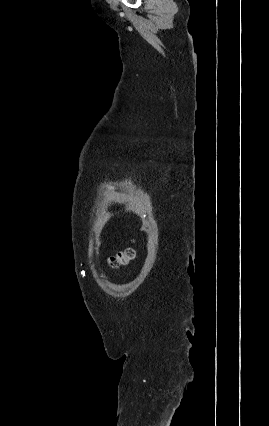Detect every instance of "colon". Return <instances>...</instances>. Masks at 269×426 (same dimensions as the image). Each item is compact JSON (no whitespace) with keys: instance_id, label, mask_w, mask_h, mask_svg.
Here are the masks:
<instances>
[{"instance_id":"obj_1","label":"colon","mask_w":269,"mask_h":426,"mask_svg":"<svg viewBox=\"0 0 269 426\" xmlns=\"http://www.w3.org/2000/svg\"><path fill=\"white\" fill-rule=\"evenodd\" d=\"M136 259V251L134 248H127L123 252L118 253L109 260L112 267H121L131 264Z\"/></svg>"}]
</instances>
